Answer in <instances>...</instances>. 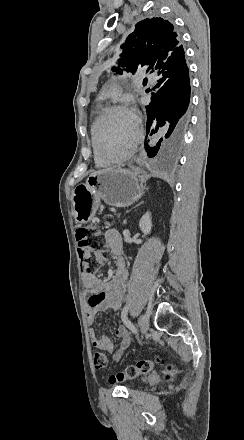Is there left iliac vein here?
Here are the masks:
<instances>
[{
  "mask_svg": "<svg viewBox=\"0 0 244 440\" xmlns=\"http://www.w3.org/2000/svg\"><path fill=\"white\" fill-rule=\"evenodd\" d=\"M140 331L142 332V334L144 335L149 328V316L148 315H141L139 318V322H138Z\"/></svg>",
  "mask_w": 244,
  "mask_h": 440,
  "instance_id": "1",
  "label": "left iliac vein"
}]
</instances>
